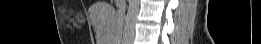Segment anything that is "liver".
<instances>
[{"label":"liver","instance_id":"6515ba94","mask_svg":"<svg viewBox=\"0 0 261 44\" xmlns=\"http://www.w3.org/2000/svg\"><path fill=\"white\" fill-rule=\"evenodd\" d=\"M90 13L93 15L95 24H120V19H117V14H95V13H115V8L109 5L101 4L97 8L92 6ZM93 30L97 31V42L99 44H118L121 40L119 25H93Z\"/></svg>","mask_w":261,"mask_h":44}]
</instances>
